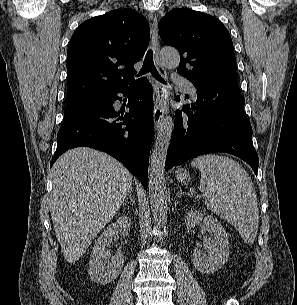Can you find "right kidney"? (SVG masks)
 <instances>
[{"instance_id":"1","label":"right kidney","mask_w":297,"mask_h":305,"mask_svg":"<svg viewBox=\"0 0 297 305\" xmlns=\"http://www.w3.org/2000/svg\"><path fill=\"white\" fill-rule=\"evenodd\" d=\"M130 226L129 217L121 216L115 223L109 224L101 233L89 260L88 271L90 278L94 282L105 285L119 276L124 263V255L122 252H119L111 256L107 248L118 233L123 237L128 236Z\"/></svg>"}]
</instances>
